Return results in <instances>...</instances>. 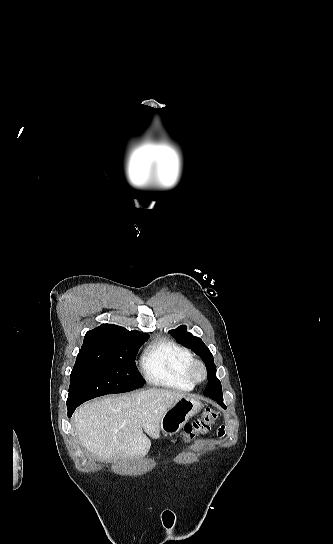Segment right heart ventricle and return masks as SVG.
Listing matches in <instances>:
<instances>
[{
	"label": "right heart ventricle",
	"instance_id": "e07e8e85",
	"mask_svg": "<svg viewBox=\"0 0 333 544\" xmlns=\"http://www.w3.org/2000/svg\"><path fill=\"white\" fill-rule=\"evenodd\" d=\"M192 353L172 340H156L145 349L140 364L146 380L155 386L190 391L194 385L186 377Z\"/></svg>",
	"mask_w": 333,
	"mask_h": 544
}]
</instances>
